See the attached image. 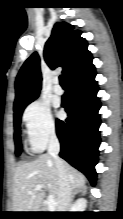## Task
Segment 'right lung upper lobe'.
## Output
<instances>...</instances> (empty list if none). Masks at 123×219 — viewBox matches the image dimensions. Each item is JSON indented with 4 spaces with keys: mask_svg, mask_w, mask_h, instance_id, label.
Segmentation results:
<instances>
[{
    "mask_svg": "<svg viewBox=\"0 0 123 219\" xmlns=\"http://www.w3.org/2000/svg\"><path fill=\"white\" fill-rule=\"evenodd\" d=\"M81 31L74 30L71 24L57 22L44 48V59L51 69L63 67L62 73L68 78L91 59L87 41ZM40 58L34 52L22 65L16 81L14 111L36 99L41 90Z\"/></svg>",
    "mask_w": 123,
    "mask_h": 219,
    "instance_id": "cb5924a9",
    "label": "right lung upper lobe"
}]
</instances>
